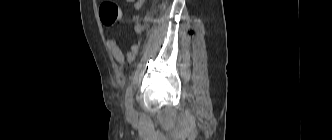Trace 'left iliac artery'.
Returning <instances> with one entry per match:
<instances>
[{
    "instance_id": "obj_1",
    "label": "left iliac artery",
    "mask_w": 332,
    "mask_h": 140,
    "mask_svg": "<svg viewBox=\"0 0 332 140\" xmlns=\"http://www.w3.org/2000/svg\"><path fill=\"white\" fill-rule=\"evenodd\" d=\"M125 105L129 111L133 110V90L132 85H129L126 89L125 94Z\"/></svg>"
}]
</instances>
